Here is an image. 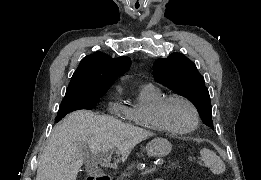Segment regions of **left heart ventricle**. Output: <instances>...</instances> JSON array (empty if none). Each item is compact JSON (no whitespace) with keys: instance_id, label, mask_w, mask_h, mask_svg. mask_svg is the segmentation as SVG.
Returning <instances> with one entry per match:
<instances>
[{"instance_id":"obj_1","label":"left heart ventricle","mask_w":261,"mask_h":180,"mask_svg":"<svg viewBox=\"0 0 261 180\" xmlns=\"http://www.w3.org/2000/svg\"><path fill=\"white\" fill-rule=\"evenodd\" d=\"M161 119L175 130H183L192 125L193 114L191 109L180 102L164 107L160 112Z\"/></svg>"}]
</instances>
